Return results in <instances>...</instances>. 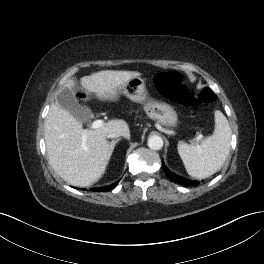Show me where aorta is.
Instances as JSON below:
<instances>
[{
  "label": "aorta",
  "mask_w": 264,
  "mask_h": 264,
  "mask_svg": "<svg viewBox=\"0 0 264 264\" xmlns=\"http://www.w3.org/2000/svg\"><path fill=\"white\" fill-rule=\"evenodd\" d=\"M147 145L152 150H160L163 147V139L158 135L150 136Z\"/></svg>",
  "instance_id": "aorta-1"
}]
</instances>
